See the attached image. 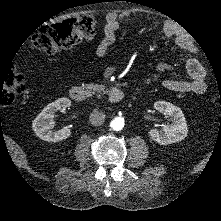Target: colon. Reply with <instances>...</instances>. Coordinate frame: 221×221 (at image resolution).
Returning <instances> with one entry per match:
<instances>
[{
	"instance_id": "colon-1",
	"label": "colon",
	"mask_w": 221,
	"mask_h": 221,
	"mask_svg": "<svg viewBox=\"0 0 221 221\" xmlns=\"http://www.w3.org/2000/svg\"><path fill=\"white\" fill-rule=\"evenodd\" d=\"M96 23L91 16L63 20L41 27L34 35L33 43L48 55L67 50L82 41H91L95 37ZM0 104L9 105L26 92L23 77L10 72L0 79Z\"/></svg>"
}]
</instances>
